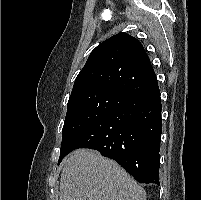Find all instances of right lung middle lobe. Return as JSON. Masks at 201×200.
Masks as SVG:
<instances>
[{
  "instance_id": "1",
  "label": "right lung middle lobe",
  "mask_w": 201,
  "mask_h": 200,
  "mask_svg": "<svg viewBox=\"0 0 201 200\" xmlns=\"http://www.w3.org/2000/svg\"><path fill=\"white\" fill-rule=\"evenodd\" d=\"M128 99L123 94L109 90L86 91L70 96L58 163L67 155L66 146L74 136Z\"/></svg>"
}]
</instances>
